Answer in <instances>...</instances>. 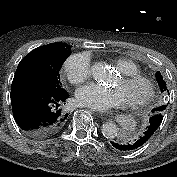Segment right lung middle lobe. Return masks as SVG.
Instances as JSON below:
<instances>
[{"instance_id":"right-lung-middle-lobe-1","label":"right lung middle lobe","mask_w":177,"mask_h":177,"mask_svg":"<svg viewBox=\"0 0 177 177\" xmlns=\"http://www.w3.org/2000/svg\"><path fill=\"white\" fill-rule=\"evenodd\" d=\"M70 52L63 54L50 63L35 59L21 61L16 70L12 89H35L54 94H62L65 90L60 82L59 71Z\"/></svg>"}]
</instances>
